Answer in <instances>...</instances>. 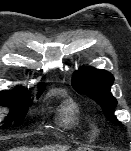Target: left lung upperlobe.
I'll use <instances>...</instances> for the list:
<instances>
[{
  "label": "left lung upper lobe",
  "instance_id": "obj_1",
  "mask_svg": "<svg viewBox=\"0 0 131 151\" xmlns=\"http://www.w3.org/2000/svg\"><path fill=\"white\" fill-rule=\"evenodd\" d=\"M114 77L111 73L92 67H82L73 75L74 89L95 100L103 109L108 120L120 125L113 114L117 100L112 96L110 87Z\"/></svg>",
  "mask_w": 131,
  "mask_h": 151
}]
</instances>
